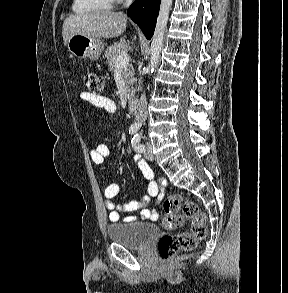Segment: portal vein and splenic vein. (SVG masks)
Listing matches in <instances>:
<instances>
[{"label":"portal vein and splenic vein","instance_id":"portal-vein-and-splenic-vein-1","mask_svg":"<svg viewBox=\"0 0 288 293\" xmlns=\"http://www.w3.org/2000/svg\"><path fill=\"white\" fill-rule=\"evenodd\" d=\"M130 56L127 53L120 55L116 60V69H120L128 65Z\"/></svg>","mask_w":288,"mask_h":293}]
</instances>
